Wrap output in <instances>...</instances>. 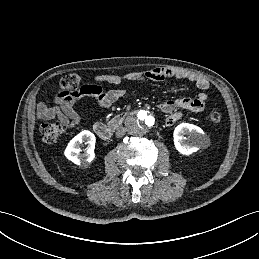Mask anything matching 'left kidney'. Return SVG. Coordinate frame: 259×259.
<instances>
[{
    "instance_id": "1",
    "label": "left kidney",
    "mask_w": 259,
    "mask_h": 259,
    "mask_svg": "<svg viewBox=\"0 0 259 259\" xmlns=\"http://www.w3.org/2000/svg\"><path fill=\"white\" fill-rule=\"evenodd\" d=\"M184 135H188V138ZM173 136L176 150L183 155L197 152L205 138V134L200 127L189 123L179 124L175 128Z\"/></svg>"
}]
</instances>
